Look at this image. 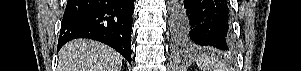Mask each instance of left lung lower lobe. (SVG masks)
<instances>
[{"label":"left lung lower lobe","mask_w":301,"mask_h":71,"mask_svg":"<svg viewBox=\"0 0 301 71\" xmlns=\"http://www.w3.org/2000/svg\"><path fill=\"white\" fill-rule=\"evenodd\" d=\"M171 31L178 44L229 51L233 47L227 0H171Z\"/></svg>","instance_id":"obj_1"}]
</instances>
